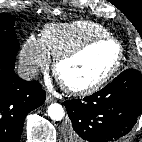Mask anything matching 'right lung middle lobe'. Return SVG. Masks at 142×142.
<instances>
[{"mask_svg": "<svg viewBox=\"0 0 142 142\" xmlns=\"http://www.w3.org/2000/svg\"><path fill=\"white\" fill-rule=\"evenodd\" d=\"M16 18L0 13V58H4L11 63L15 62L19 50V42L14 30Z\"/></svg>", "mask_w": 142, "mask_h": 142, "instance_id": "right-lung-middle-lobe-1", "label": "right lung middle lobe"}]
</instances>
